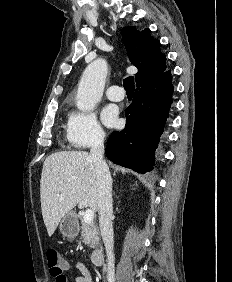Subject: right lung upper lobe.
Listing matches in <instances>:
<instances>
[{
	"mask_svg": "<svg viewBox=\"0 0 232 282\" xmlns=\"http://www.w3.org/2000/svg\"><path fill=\"white\" fill-rule=\"evenodd\" d=\"M122 36L128 57L138 69L136 82L166 71V56L159 49V41L150 36L148 28L138 31L135 27H123Z\"/></svg>",
	"mask_w": 232,
	"mask_h": 282,
	"instance_id": "cb5924a9",
	"label": "right lung upper lobe"
}]
</instances>
